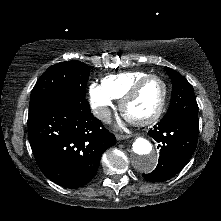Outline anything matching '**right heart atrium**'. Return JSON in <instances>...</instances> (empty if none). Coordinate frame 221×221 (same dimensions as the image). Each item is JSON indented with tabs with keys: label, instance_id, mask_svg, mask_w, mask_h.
Wrapping results in <instances>:
<instances>
[{
	"label": "right heart atrium",
	"instance_id": "right-heart-atrium-1",
	"mask_svg": "<svg viewBox=\"0 0 221 221\" xmlns=\"http://www.w3.org/2000/svg\"><path fill=\"white\" fill-rule=\"evenodd\" d=\"M89 100L96 117L103 122H107L111 116L113 98L104 87L100 84L92 83L89 86Z\"/></svg>",
	"mask_w": 221,
	"mask_h": 221
}]
</instances>
